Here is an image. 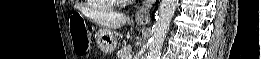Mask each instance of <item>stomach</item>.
Masks as SVG:
<instances>
[{
    "instance_id": "obj_1",
    "label": "stomach",
    "mask_w": 261,
    "mask_h": 59,
    "mask_svg": "<svg viewBox=\"0 0 261 59\" xmlns=\"http://www.w3.org/2000/svg\"><path fill=\"white\" fill-rule=\"evenodd\" d=\"M95 36L97 44L103 53L111 54L116 50L117 38L115 33L111 29H100Z\"/></svg>"
}]
</instances>
